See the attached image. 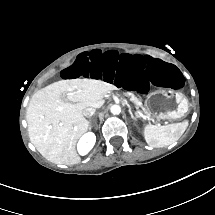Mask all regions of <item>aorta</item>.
Here are the masks:
<instances>
[{
	"label": "aorta",
	"instance_id": "762f6f07",
	"mask_svg": "<svg viewBox=\"0 0 215 215\" xmlns=\"http://www.w3.org/2000/svg\"><path fill=\"white\" fill-rule=\"evenodd\" d=\"M110 111H111L112 114H118V113H120L121 108H120L119 105L114 104V105H112V106L110 107Z\"/></svg>",
	"mask_w": 215,
	"mask_h": 215
}]
</instances>
